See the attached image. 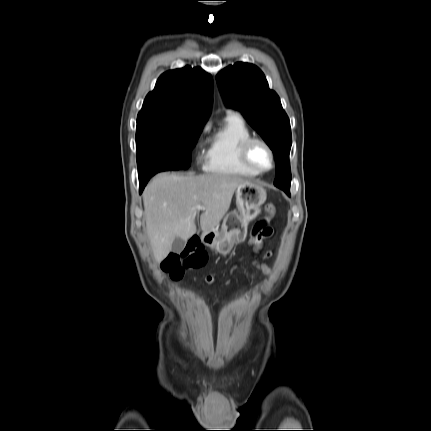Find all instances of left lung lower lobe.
<instances>
[{"label":"left lung lower lobe","mask_w":431,"mask_h":431,"mask_svg":"<svg viewBox=\"0 0 431 431\" xmlns=\"http://www.w3.org/2000/svg\"><path fill=\"white\" fill-rule=\"evenodd\" d=\"M285 193H286L287 195H290V192H288V191H287V192L285 191Z\"/></svg>","instance_id":"obj_1"}]
</instances>
